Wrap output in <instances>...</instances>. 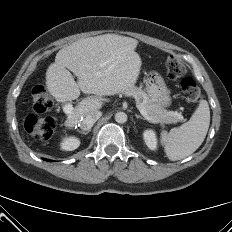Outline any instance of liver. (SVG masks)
I'll list each match as a JSON object with an SVG mask.
<instances>
[{
  "label": "liver",
  "instance_id": "1",
  "mask_svg": "<svg viewBox=\"0 0 232 232\" xmlns=\"http://www.w3.org/2000/svg\"><path fill=\"white\" fill-rule=\"evenodd\" d=\"M137 44L130 37L104 34L80 39L59 50L46 71L48 92L62 103L77 99L80 91L95 95L84 98L67 114L66 127L77 126L87 113L101 109L103 96L134 86L142 64L135 52ZM69 70L77 76V83Z\"/></svg>",
  "mask_w": 232,
  "mask_h": 232
}]
</instances>
